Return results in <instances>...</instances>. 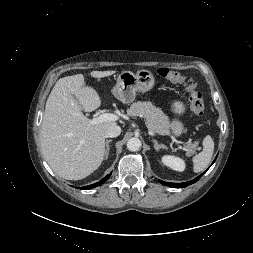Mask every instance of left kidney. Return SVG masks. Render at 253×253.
<instances>
[{
    "instance_id": "5707ae66",
    "label": "left kidney",
    "mask_w": 253,
    "mask_h": 253,
    "mask_svg": "<svg viewBox=\"0 0 253 253\" xmlns=\"http://www.w3.org/2000/svg\"><path fill=\"white\" fill-rule=\"evenodd\" d=\"M162 163L165 166L170 167L173 170L176 171H184L185 169V163L181 158L171 156V155H164L162 157Z\"/></svg>"
}]
</instances>
